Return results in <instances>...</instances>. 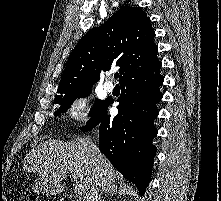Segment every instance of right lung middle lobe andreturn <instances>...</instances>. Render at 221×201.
<instances>
[{"mask_svg":"<svg viewBox=\"0 0 221 201\" xmlns=\"http://www.w3.org/2000/svg\"><path fill=\"white\" fill-rule=\"evenodd\" d=\"M90 93L91 89H85V90L73 91L65 95H56L54 103L60 104V108L54 113V115L56 116L57 114H61L62 112L65 113L67 111V108L71 106L72 102L76 98L86 97L90 95ZM106 103L107 100L100 101L96 99L94 107L89 112V116H91V118L88 121L87 125L85 127H82L81 130H85L88 127H91L97 123L103 109L106 106Z\"/></svg>","mask_w":221,"mask_h":201,"instance_id":"right-lung-middle-lobe-1","label":"right lung middle lobe"}]
</instances>
